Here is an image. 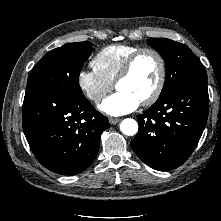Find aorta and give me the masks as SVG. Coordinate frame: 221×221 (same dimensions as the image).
<instances>
[{
	"label": "aorta",
	"mask_w": 221,
	"mask_h": 221,
	"mask_svg": "<svg viewBox=\"0 0 221 221\" xmlns=\"http://www.w3.org/2000/svg\"><path fill=\"white\" fill-rule=\"evenodd\" d=\"M120 131L127 136H133L138 132V123L132 118H126L120 123Z\"/></svg>",
	"instance_id": "1"
}]
</instances>
